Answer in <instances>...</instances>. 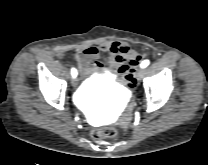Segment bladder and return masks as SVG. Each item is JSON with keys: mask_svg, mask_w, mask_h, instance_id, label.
<instances>
[{"mask_svg": "<svg viewBox=\"0 0 208 165\" xmlns=\"http://www.w3.org/2000/svg\"><path fill=\"white\" fill-rule=\"evenodd\" d=\"M91 91L102 92V94L109 98L120 95L122 89L118 87L114 81L109 76H98L88 80L82 87L83 97L80 101V105L84 108L88 103Z\"/></svg>", "mask_w": 208, "mask_h": 165, "instance_id": "bladder-1", "label": "bladder"}]
</instances>
